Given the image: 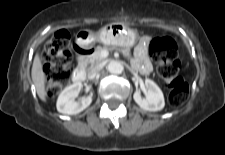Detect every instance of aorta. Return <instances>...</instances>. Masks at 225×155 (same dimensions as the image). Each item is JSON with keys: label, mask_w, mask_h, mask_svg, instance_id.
<instances>
[{"label": "aorta", "mask_w": 225, "mask_h": 155, "mask_svg": "<svg viewBox=\"0 0 225 155\" xmlns=\"http://www.w3.org/2000/svg\"><path fill=\"white\" fill-rule=\"evenodd\" d=\"M111 74H120L123 71V65L119 61H111L107 67Z\"/></svg>", "instance_id": "1"}]
</instances>
